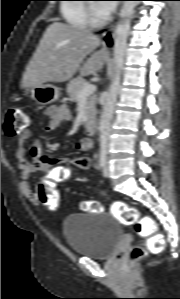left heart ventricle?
<instances>
[{
  "label": "left heart ventricle",
  "instance_id": "left-heart-ventricle-1",
  "mask_svg": "<svg viewBox=\"0 0 180 299\" xmlns=\"http://www.w3.org/2000/svg\"><path fill=\"white\" fill-rule=\"evenodd\" d=\"M96 6V12L99 16H104L103 13L100 11L99 6L97 4H95Z\"/></svg>",
  "mask_w": 180,
  "mask_h": 299
}]
</instances>
